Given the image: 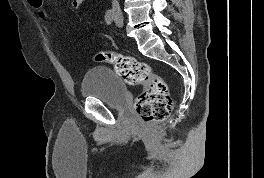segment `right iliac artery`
<instances>
[{"label": "right iliac artery", "mask_w": 264, "mask_h": 178, "mask_svg": "<svg viewBox=\"0 0 264 178\" xmlns=\"http://www.w3.org/2000/svg\"><path fill=\"white\" fill-rule=\"evenodd\" d=\"M105 21L108 25H110L113 21V12L112 11H107L105 14Z\"/></svg>", "instance_id": "1"}]
</instances>
